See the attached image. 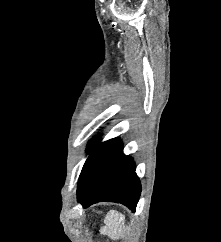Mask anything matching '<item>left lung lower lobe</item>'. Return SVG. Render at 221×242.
I'll return each instance as SVG.
<instances>
[{"label": "left lung lower lobe", "instance_id": "left-lung-lower-lobe-1", "mask_svg": "<svg viewBox=\"0 0 221 242\" xmlns=\"http://www.w3.org/2000/svg\"><path fill=\"white\" fill-rule=\"evenodd\" d=\"M141 185L133 159L123 154L120 140L98 143L81 171L77 200L84 208L101 201L122 203L135 211Z\"/></svg>", "mask_w": 221, "mask_h": 242}]
</instances>
